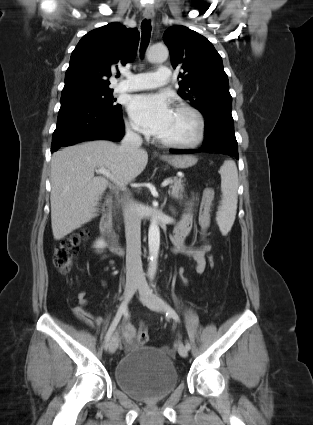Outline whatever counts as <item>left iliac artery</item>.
<instances>
[{"label": "left iliac artery", "mask_w": 313, "mask_h": 425, "mask_svg": "<svg viewBox=\"0 0 313 425\" xmlns=\"http://www.w3.org/2000/svg\"><path fill=\"white\" fill-rule=\"evenodd\" d=\"M153 287H155V284H152ZM164 304V302H163ZM165 310H166V315L172 317L175 321H179V316L178 314L175 312V310L168 304H164ZM186 348L189 350L191 348L190 343L187 341L186 342Z\"/></svg>", "instance_id": "1"}]
</instances>
